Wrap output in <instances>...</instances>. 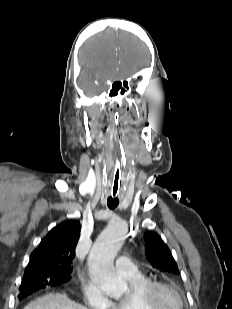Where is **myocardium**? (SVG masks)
Wrapping results in <instances>:
<instances>
[{"label":"myocardium","mask_w":232,"mask_h":309,"mask_svg":"<svg viewBox=\"0 0 232 309\" xmlns=\"http://www.w3.org/2000/svg\"><path fill=\"white\" fill-rule=\"evenodd\" d=\"M173 292L179 299V309H184L185 300L180 290L167 282L151 280L145 285L140 293V300L146 309H163L161 305L160 295L163 291Z\"/></svg>","instance_id":"obj_1"}]
</instances>
